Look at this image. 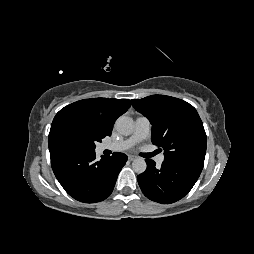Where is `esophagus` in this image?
<instances>
[{
  "label": "esophagus",
  "mask_w": 254,
  "mask_h": 254,
  "mask_svg": "<svg viewBox=\"0 0 254 254\" xmlns=\"http://www.w3.org/2000/svg\"><path fill=\"white\" fill-rule=\"evenodd\" d=\"M137 158V156H135V155H132V154H129L128 155V160L129 161H133V160H135Z\"/></svg>",
  "instance_id": "34e87169"
}]
</instances>
